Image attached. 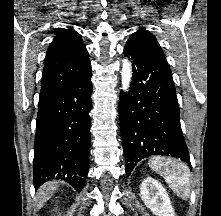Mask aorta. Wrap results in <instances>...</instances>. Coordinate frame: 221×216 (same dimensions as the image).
<instances>
[{"label": "aorta", "mask_w": 221, "mask_h": 216, "mask_svg": "<svg viewBox=\"0 0 221 216\" xmlns=\"http://www.w3.org/2000/svg\"><path fill=\"white\" fill-rule=\"evenodd\" d=\"M131 64L128 59L123 60L122 72H121V81H122V90L127 91L131 81Z\"/></svg>", "instance_id": "1"}]
</instances>
